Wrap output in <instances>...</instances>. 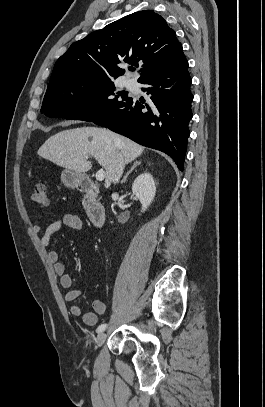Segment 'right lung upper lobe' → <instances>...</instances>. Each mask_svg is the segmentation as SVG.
<instances>
[{
  "mask_svg": "<svg viewBox=\"0 0 265 407\" xmlns=\"http://www.w3.org/2000/svg\"><path fill=\"white\" fill-rule=\"evenodd\" d=\"M183 53L175 31L153 10L125 16L73 43L55 63L49 84L111 80L119 64L141 66L138 82Z\"/></svg>",
  "mask_w": 265,
  "mask_h": 407,
  "instance_id": "cb5924a9",
  "label": "right lung upper lobe"
}]
</instances>
